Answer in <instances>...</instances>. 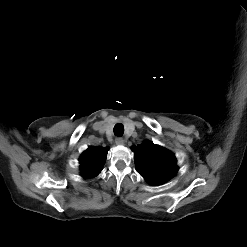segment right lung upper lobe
I'll use <instances>...</instances> for the list:
<instances>
[{
	"mask_svg": "<svg viewBox=\"0 0 247 247\" xmlns=\"http://www.w3.org/2000/svg\"><path fill=\"white\" fill-rule=\"evenodd\" d=\"M107 148L90 147L80 156L81 174L84 178L97 176L106 161Z\"/></svg>",
	"mask_w": 247,
	"mask_h": 247,
	"instance_id": "1",
	"label": "right lung upper lobe"
}]
</instances>
